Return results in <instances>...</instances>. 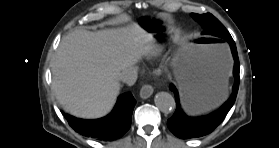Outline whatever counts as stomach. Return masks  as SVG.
<instances>
[{"mask_svg":"<svg viewBox=\"0 0 279 148\" xmlns=\"http://www.w3.org/2000/svg\"><path fill=\"white\" fill-rule=\"evenodd\" d=\"M138 32L166 47L180 41L181 53L176 62V75L184 107L190 113H204L217 107L225 98L222 87L230 66L228 47L215 35L201 39H180L173 23L157 13L145 10L137 14Z\"/></svg>","mask_w":279,"mask_h":148,"instance_id":"stomach-1","label":"stomach"}]
</instances>
